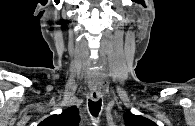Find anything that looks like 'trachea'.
<instances>
[{
	"instance_id": "trachea-1",
	"label": "trachea",
	"mask_w": 195,
	"mask_h": 126,
	"mask_svg": "<svg viewBox=\"0 0 195 126\" xmlns=\"http://www.w3.org/2000/svg\"><path fill=\"white\" fill-rule=\"evenodd\" d=\"M89 111L90 113L94 116V117H97L100 110H101V100H98V101H92V100H89Z\"/></svg>"
}]
</instances>
